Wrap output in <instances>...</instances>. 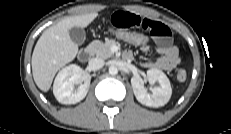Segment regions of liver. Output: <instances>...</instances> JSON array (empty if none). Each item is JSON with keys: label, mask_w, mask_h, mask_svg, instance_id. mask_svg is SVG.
Instances as JSON below:
<instances>
[{"label": "liver", "mask_w": 231, "mask_h": 134, "mask_svg": "<svg viewBox=\"0 0 231 134\" xmlns=\"http://www.w3.org/2000/svg\"><path fill=\"white\" fill-rule=\"evenodd\" d=\"M97 12L71 16L46 29L38 39L32 54V73L38 88L47 92L57 71L74 60L78 52L69 35L72 27H87Z\"/></svg>", "instance_id": "1"}]
</instances>
